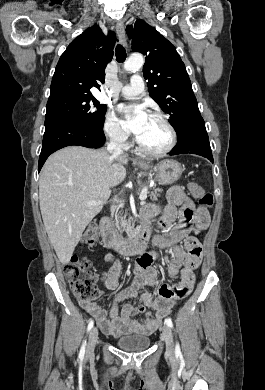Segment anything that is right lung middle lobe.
Instances as JSON below:
<instances>
[{
    "label": "right lung middle lobe",
    "instance_id": "obj_1",
    "mask_svg": "<svg viewBox=\"0 0 265 390\" xmlns=\"http://www.w3.org/2000/svg\"><path fill=\"white\" fill-rule=\"evenodd\" d=\"M45 118L68 117L93 127H103L107 106L100 104L93 95H66L47 102Z\"/></svg>",
    "mask_w": 265,
    "mask_h": 390
}]
</instances>
